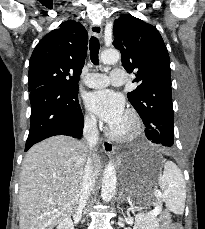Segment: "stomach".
Segmentation results:
<instances>
[{
  "mask_svg": "<svg viewBox=\"0 0 205 229\" xmlns=\"http://www.w3.org/2000/svg\"><path fill=\"white\" fill-rule=\"evenodd\" d=\"M163 165L162 157L148 149L135 150L121 157V174L130 195L153 197L152 186Z\"/></svg>",
  "mask_w": 205,
  "mask_h": 229,
  "instance_id": "stomach-1",
  "label": "stomach"
}]
</instances>
